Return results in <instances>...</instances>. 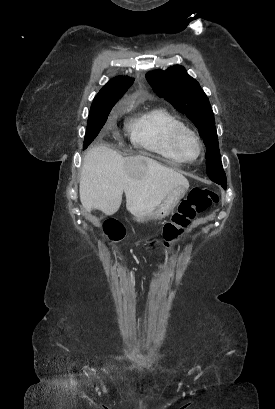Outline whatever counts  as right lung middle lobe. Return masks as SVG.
Masks as SVG:
<instances>
[{
	"label": "right lung middle lobe",
	"mask_w": 275,
	"mask_h": 409,
	"mask_svg": "<svg viewBox=\"0 0 275 409\" xmlns=\"http://www.w3.org/2000/svg\"><path fill=\"white\" fill-rule=\"evenodd\" d=\"M111 109L112 108H106L96 111L90 110L83 149H86L96 138V136L104 126Z\"/></svg>",
	"instance_id": "dd1d6c3e"
}]
</instances>
